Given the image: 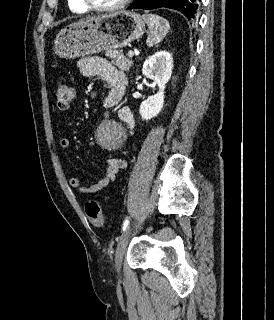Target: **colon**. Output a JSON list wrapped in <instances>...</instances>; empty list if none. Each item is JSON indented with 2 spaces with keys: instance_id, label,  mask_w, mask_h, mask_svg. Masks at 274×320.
I'll use <instances>...</instances> for the list:
<instances>
[{
  "instance_id": "5ec220e1",
  "label": "colon",
  "mask_w": 274,
  "mask_h": 320,
  "mask_svg": "<svg viewBox=\"0 0 274 320\" xmlns=\"http://www.w3.org/2000/svg\"><path fill=\"white\" fill-rule=\"evenodd\" d=\"M55 103L58 109L65 110L69 107L74 98L73 87L64 82H58L53 89ZM85 212L88 219L98 227H102L104 222V214L102 205L95 201L90 200L85 204Z\"/></svg>"
}]
</instances>
